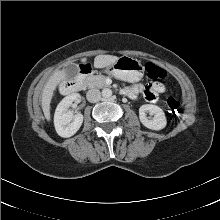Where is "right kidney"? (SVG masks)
<instances>
[{"label": "right kidney", "instance_id": "ca27d5eb", "mask_svg": "<svg viewBox=\"0 0 220 220\" xmlns=\"http://www.w3.org/2000/svg\"><path fill=\"white\" fill-rule=\"evenodd\" d=\"M80 99L78 93L66 96L57 106L54 115V126L59 136L68 138L73 136L83 123V115H74L69 107L74 101Z\"/></svg>", "mask_w": 220, "mask_h": 220}]
</instances>
